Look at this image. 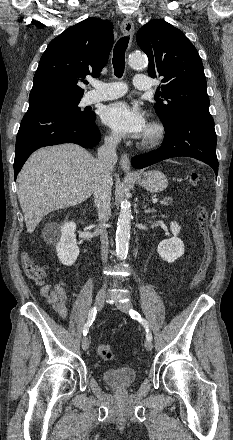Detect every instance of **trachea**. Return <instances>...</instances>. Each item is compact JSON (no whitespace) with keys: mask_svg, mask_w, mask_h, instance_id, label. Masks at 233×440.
<instances>
[{"mask_svg":"<svg viewBox=\"0 0 233 440\" xmlns=\"http://www.w3.org/2000/svg\"><path fill=\"white\" fill-rule=\"evenodd\" d=\"M129 42V36L119 39L113 50V68L116 77L121 78L125 68V51Z\"/></svg>","mask_w":233,"mask_h":440,"instance_id":"obj_1","label":"trachea"}]
</instances>
